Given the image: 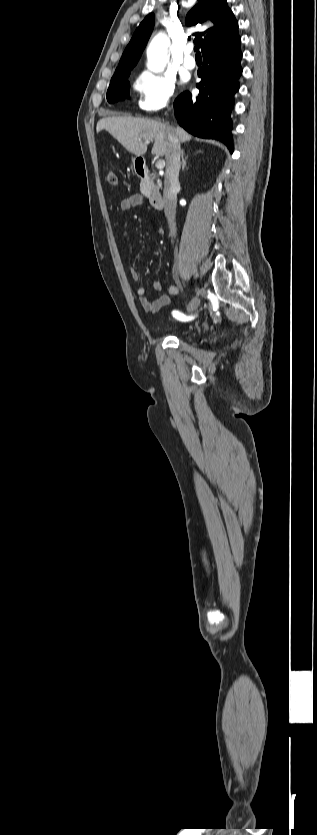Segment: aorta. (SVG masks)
Returning a JSON list of instances; mask_svg holds the SVG:
<instances>
[{"instance_id":"aorta-1","label":"aorta","mask_w":317,"mask_h":835,"mask_svg":"<svg viewBox=\"0 0 317 835\" xmlns=\"http://www.w3.org/2000/svg\"><path fill=\"white\" fill-rule=\"evenodd\" d=\"M170 39L164 32H159L147 48V67L154 73L162 72L169 61L168 47Z\"/></svg>"}]
</instances>
